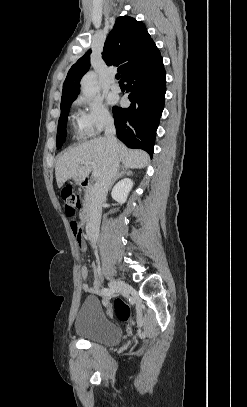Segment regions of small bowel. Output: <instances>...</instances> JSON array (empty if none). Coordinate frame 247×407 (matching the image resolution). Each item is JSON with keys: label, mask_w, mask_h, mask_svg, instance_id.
I'll return each instance as SVG.
<instances>
[{"label": "small bowel", "mask_w": 247, "mask_h": 407, "mask_svg": "<svg viewBox=\"0 0 247 407\" xmlns=\"http://www.w3.org/2000/svg\"><path fill=\"white\" fill-rule=\"evenodd\" d=\"M77 241H78L80 250L83 253H85L87 251V246L85 244V241L82 237L81 232L79 235H77ZM94 269L96 270V267H94ZM81 275H82V279H83V289L89 293H97L98 292V281H95V283L92 286L87 283L88 268L86 265H83L81 267ZM107 306H109V303H107Z\"/></svg>", "instance_id": "small-bowel-1"}]
</instances>
